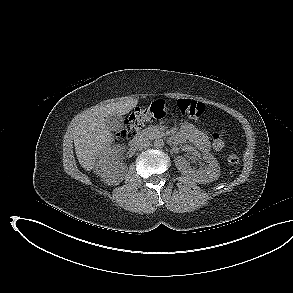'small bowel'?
<instances>
[{
	"label": "small bowel",
	"instance_id": "obj_1",
	"mask_svg": "<svg viewBox=\"0 0 293 293\" xmlns=\"http://www.w3.org/2000/svg\"><path fill=\"white\" fill-rule=\"evenodd\" d=\"M176 138L178 140H189L201 151H208L211 147L207 133L188 122L182 124L180 133Z\"/></svg>",
	"mask_w": 293,
	"mask_h": 293
}]
</instances>
